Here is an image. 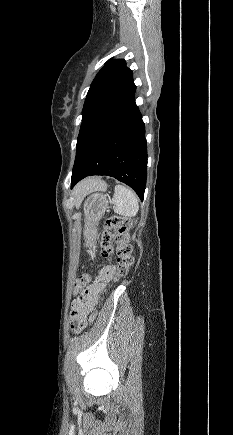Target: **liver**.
Instances as JSON below:
<instances>
[{"mask_svg":"<svg viewBox=\"0 0 233 435\" xmlns=\"http://www.w3.org/2000/svg\"><path fill=\"white\" fill-rule=\"evenodd\" d=\"M104 185V182L101 181L99 178H87L76 186L74 190V195L80 198L86 195L88 192L102 189Z\"/></svg>","mask_w":233,"mask_h":435,"instance_id":"obj_1","label":"liver"}]
</instances>
